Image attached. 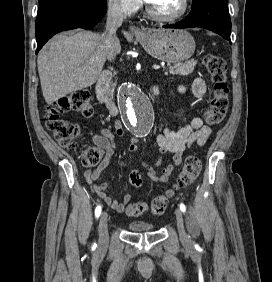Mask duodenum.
I'll list each match as a JSON object with an SVG mask.
<instances>
[{
  "instance_id": "410a0bca",
  "label": "duodenum",
  "mask_w": 272,
  "mask_h": 282,
  "mask_svg": "<svg viewBox=\"0 0 272 282\" xmlns=\"http://www.w3.org/2000/svg\"><path fill=\"white\" fill-rule=\"evenodd\" d=\"M112 76L113 75L111 70L103 71L96 85V96H97V100L106 106L108 112L111 115H117L118 108L109 90ZM151 92L153 96L156 97L159 95V88L156 85H154L151 88Z\"/></svg>"
}]
</instances>
